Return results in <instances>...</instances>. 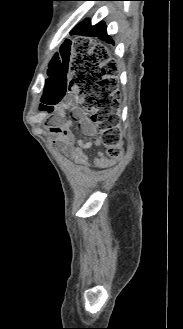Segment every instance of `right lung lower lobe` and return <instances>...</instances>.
I'll use <instances>...</instances> for the list:
<instances>
[{"mask_svg": "<svg viewBox=\"0 0 183 329\" xmlns=\"http://www.w3.org/2000/svg\"><path fill=\"white\" fill-rule=\"evenodd\" d=\"M72 33L78 34V35H84V36L98 37L101 40L112 43L111 38L107 35L106 25L104 22H100L99 24H97L95 26H91L90 22L86 20V21L78 24L73 29ZM82 66L84 68H88L90 73H92L93 71H96L98 69L97 64H94L90 60L85 61L82 64ZM92 74H94V73H92Z\"/></svg>", "mask_w": 183, "mask_h": 329, "instance_id": "right-lung-lower-lobe-1", "label": "right lung lower lobe"}]
</instances>
